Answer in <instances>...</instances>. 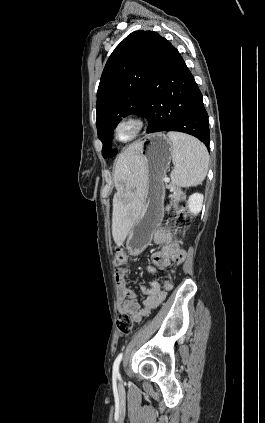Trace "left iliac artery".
I'll use <instances>...</instances> for the list:
<instances>
[{"label":"left iliac artery","mask_w":265,"mask_h":423,"mask_svg":"<svg viewBox=\"0 0 265 423\" xmlns=\"http://www.w3.org/2000/svg\"><path fill=\"white\" fill-rule=\"evenodd\" d=\"M122 357H123V353H120V354L116 357V359H115V361H114V363H113V376H114V377H118V378H120L119 365H120V362H121V360H122Z\"/></svg>","instance_id":"obj_1"}]
</instances>
